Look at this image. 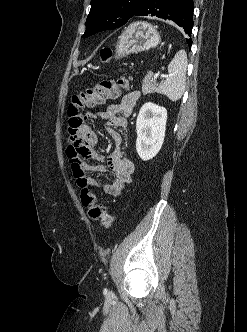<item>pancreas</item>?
<instances>
[{
	"mask_svg": "<svg viewBox=\"0 0 247 332\" xmlns=\"http://www.w3.org/2000/svg\"><path fill=\"white\" fill-rule=\"evenodd\" d=\"M157 91V84L153 80V73L149 71L144 77L142 83V93L143 95L154 93Z\"/></svg>",
	"mask_w": 247,
	"mask_h": 332,
	"instance_id": "1",
	"label": "pancreas"
}]
</instances>
